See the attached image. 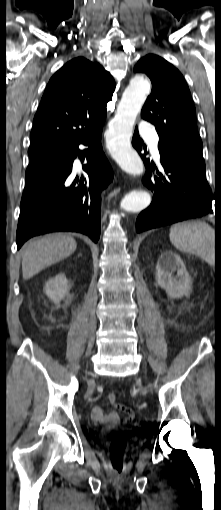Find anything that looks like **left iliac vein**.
I'll return each mask as SVG.
<instances>
[{"label": "left iliac vein", "mask_w": 221, "mask_h": 510, "mask_svg": "<svg viewBox=\"0 0 221 510\" xmlns=\"http://www.w3.org/2000/svg\"><path fill=\"white\" fill-rule=\"evenodd\" d=\"M137 386L142 390V386H141V382L140 381H137Z\"/></svg>", "instance_id": "left-iliac-vein-1"}]
</instances>
